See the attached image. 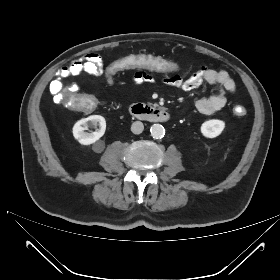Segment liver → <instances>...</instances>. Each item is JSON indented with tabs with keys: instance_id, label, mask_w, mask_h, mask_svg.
Returning a JSON list of instances; mask_svg holds the SVG:
<instances>
[{
	"instance_id": "6515ba94",
	"label": "liver",
	"mask_w": 280,
	"mask_h": 280,
	"mask_svg": "<svg viewBox=\"0 0 280 280\" xmlns=\"http://www.w3.org/2000/svg\"><path fill=\"white\" fill-rule=\"evenodd\" d=\"M67 91V89H64V92H66Z\"/></svg>"
}]
</instances>
